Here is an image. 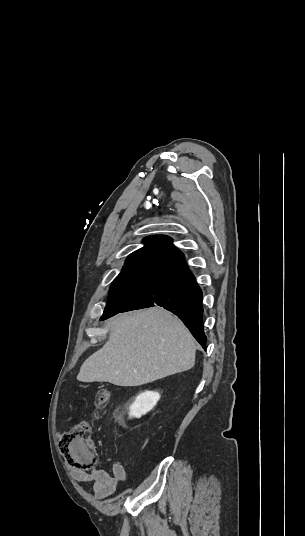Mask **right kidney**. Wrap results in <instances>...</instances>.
<instances>
[{
  "label": "right kidney",
  "instance_id": "obj_1",
  "mask_svg": "<svg viewBox=\"0 0 305 536\" xmlns=\"http://www.w3.org/2000/svg\"><path fill=\"white\" fill-rule=\"evenodd\" d=\"M160 400L158 392H143L137 396L134 404L131 406V416H142L146 412H150Z\"/></svg>",
  "mask_w": 305,
  "mask_h": 536
}]
</instances>
